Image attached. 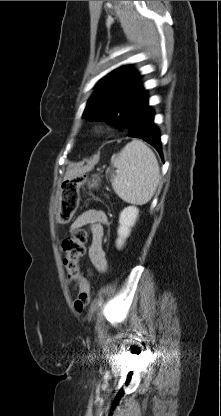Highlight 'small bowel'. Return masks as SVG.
I'll use <instances>...</instances> for the list:
<instances>
[{"instance_id": "c3829d8e", "label": "small bowel", "mask_w": 221, "mask_h": 416, "mask_svg": "<svg viewBox=\"0 0 221 416\" xmlns=\"http://www.w3.org/2000/svg\"><path fill=\"white\" fill-rule=\"evenodd\" d=\"M107 223L108 217L105 212L99 210H87L79 214L70 225V231L84 227L90 229L92 241L88 254L92 265L99 272H105L108 267L103 248L104 225Z\"/></svg>"}]
</instances>
